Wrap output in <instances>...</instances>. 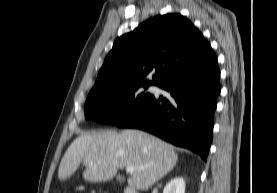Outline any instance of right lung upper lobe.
I'll return each mask as SVG.
<instances>
[{
  "mask_svg": "<svg viewBox=\"0 0 277 193\" xmlns=\"http://www.w3.org/2000/svg\"><path fill=\"white\" fill-rule=\"evenodd\" d=\"M211 51L210 44L186 17L180 14L155 16L115 40L90 93L159 85ZM152 72V81L146 80Z\"/></svg>",
  "mask_w": 277,
  "mask_h": 193,
  "instance_id": "cb5924a9",
  "label": "right lung upper lobe"
}]
</instances>
